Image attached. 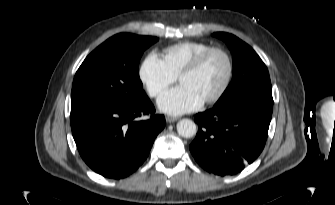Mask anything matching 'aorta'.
<instances>
[{
    "label": "aorta",
    "instance_id": "762f6f07",
    "mask_svg": "<svg viewBox=\"0 0 335 205\" xmlns=\"http://www.w3.org/2000/svg\"><path fill=\"white\" fill-rule=\"evenodd\" d=\"M177 132L184 138H191L197 133V126L190 119H182L177 123Z\"/></svg>",
    "mask_w": 335,
    "mask_h": 205
}]
</instances>
